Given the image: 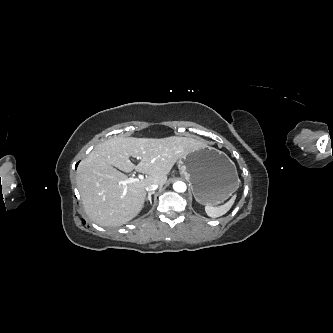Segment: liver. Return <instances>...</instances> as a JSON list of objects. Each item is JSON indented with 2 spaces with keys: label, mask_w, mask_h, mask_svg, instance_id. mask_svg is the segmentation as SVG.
Instances as JSON below:
<instances>
[{
  "label": "liver",
  "mask_w": 333,
  "mask_h": 333,
  "mask_svg": "<svg viewBox=\"0 0 333 333\" xmlns=\"http://www.w3.org/2000/svg\"><path fill=\"white\" fill-rule=\"evenodd\" d=\"M200 139L114 137L98 144L77 169V187L85 212L100 226L116 227L135 218L143 209L146 187L163 186L174 164L192 150L205 147ZM129 157L138 158V165ZM123 172L146 175L126 185Z\"/></svg>",
  "instance_id": "1"
}]
</instances>
